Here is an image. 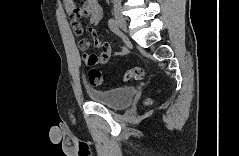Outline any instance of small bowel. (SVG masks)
Instances as JSON below:
<instances>
[{
	"instance_id": "1",
	"label": "small bowel",
	"mask_w": 239,
	"mask_h": 156,
	"mask_svg": "<svg viewBox=\"0 0 239 156\" xmlns=\"http://www.w3.org/2000/svg\"><path fill=\"white\" fill-rule=\"evenodd\" d=\"M65 10L71 15V22L75 33L79 36L82 35V28L79 20L82 17L87 18L91 26H96L103 16V9L99 0H86L81 6H77L71 0H65L63 2ZM81 14V16H78ZM92 42L96 48H99L101 52L85 53L84 58L89 66H96L98 64H105L109 61L112 55L122 56L127 53V48L122 46L119 50L112 53L109 43L102 42L99 38L97 31L94 28L89 30ZM90 41L87 38L81 37L79 40V47L82 51L87 52L90 49Z\"/></svg>"
}]
</instances>
